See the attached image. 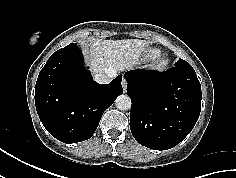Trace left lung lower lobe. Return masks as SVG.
<instances>
[{
  "label": "left lung lower lobe",
  "mask_w": 236,
  "mask_h": 178,
  "mask_svg": "<svg viewBox=\"0 0 236 178\" xmlns=\"http://www.w3.org/2000/svg\"><path fill=\"white\" fill-rule=\"evenodd\" d=\"M131 98L130 129L141 145L167 150L193 129L201 111V85L192 67L125 73Z\"/></svg>",
  "instance_id": "0a47b994"
}]
</instances>
